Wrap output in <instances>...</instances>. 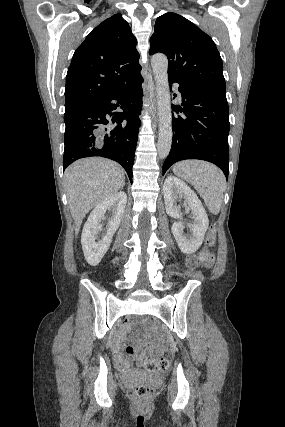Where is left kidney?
<instances>
[{
  "instance_id": "obj_1",
  "label": "left kidney",
  "mask_w": 285,
  "mask_h": 427,
  "mask_svg": "<svg viewBox=\"0 0 285 427\" xmlns=\"http://www.w3.org/2000/svg\"><path fill=\"white\" fill-rule=\"evenodd\" d=\"M166 212L169 216L180 219V207L177 200L184 198L188 208L193 214L192 232L184 234L183 222L178 221L172 225V233L180 248L185 254L196 252L202 245L205 232L209 226L207 213L191 188L175 176H168L163 186Z\"/></svg>"
}]
</instances>
